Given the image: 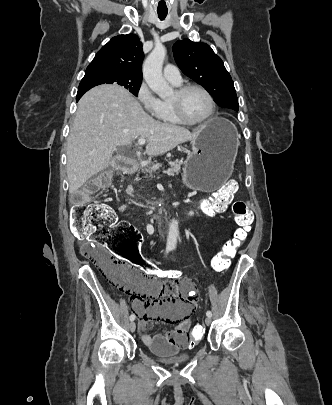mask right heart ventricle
<instances>
[{
    "label": "right heart ventricle",
    "instance_id": "right-heart-ventricle-1",
    "mask_svg": "<svg viewBox=\"0 0 332 405\" xmlns=\"http://www.w3.org/2000/svg\"><path fill=\"white\" fill-rule=\"evenodd\" d=\"M173 85L178 86L179 84ZM157 118L164 123H171V124L180 123L176 118V116L174 115L170 101H161V111Z\"/></svg>",
    "mask_w": 332,
    "mask_h": 405
}]
</instances>
